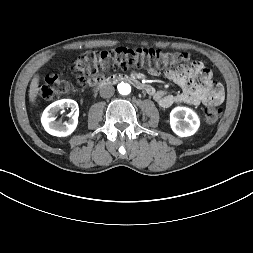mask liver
<instances>
[{"instance_id": "liver-1", "label": "liver", "mask_w": 253, "mask_h": 253, "mask_svg": "<svg viewBox=\"0 0 253 253\" xmlns=\"http://www.w3.org/2000/svg\"><path fill=\"white\" fill-rule=\"evenodd\" d=\"M38 91H39V76L35 75L31 81L29 89V100L31 103H35Z\"/></svg>"}]
</instances>
